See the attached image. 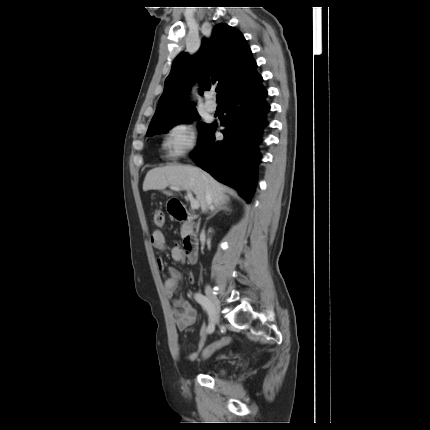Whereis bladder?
Here are the masks:
<instances>
[{
	"label": "bladder",
	"instance_id": "31cf9c89",
	"mask_svg": "<svg viewBox=\"0 0 430 430\" xmlns=\"http://www.w3.org/2000/svg\"><path fill=\"white\" fill-rule=\"evenodd\" d=\"M223 370H220L219 372L222 373Z\"/></svg>",
	"mask_w": 430,
	"mask_h": 430
}]
</instances>
